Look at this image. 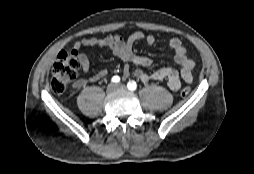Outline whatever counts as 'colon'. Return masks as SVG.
I'll return each instance as SVG.
<instances>
[{"label": "colon", "mask_w": 254, "mask_h": 174, "mask_svg": "<svg viewBox=\"0 0 254 174\" xmlns=\"http://www.w3.org/2000/svg\"><path fill=\"white\" fill-rule=\"evenodd\" d=\"M76 50H64L59 53L52 68L51 89L55 93L65 91L67 85L75 80L79 68ZM190 93L189 87H183L181 94L186 96Z\"/></svg>", "instance_id": "1"}]
</instances>
